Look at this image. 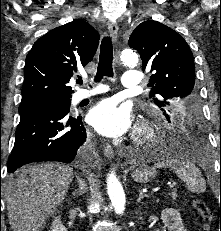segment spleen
I'll return each instance as SVG.
<instances>
[{"instance_id":"1","label":"spleen","mask_w":221,"mask_h":231,"mask_svg":"<svg viewBox=\"0 0 221 231\" xmlns=\"http://www.w3.org/2000/svg\"><path fill=\"white\" fill-rule=\"evenodd\" d=\"M169 168L186 183L188 190L194 193H202L206 190V182L199 168L190 160L167 158L154 164L152 169Z\"/></svg>"}]
</instances>
